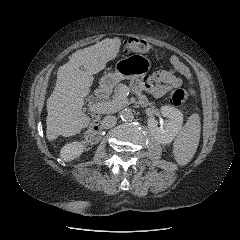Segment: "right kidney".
I'll list each match as a JSON object with an SVG mask.
<instances>
[{"label":"right kidney","instance_id":"1","mask_svg":"<svg viewBox=\"0 0 240 240\" xmlns=\"http://www.w3.org/2000/svg\"><path fill=\"white\" fill-rule=\"evenodd\" d=\"M83 151L84 145L81 142L74 141L67 143L62 147L60 151V157L64 161H72L79 157Z\"/></svg>","mask_w":240,"mask_h":240}]
</instances>
